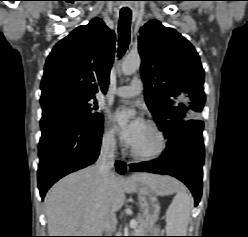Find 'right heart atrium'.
I'll return each instance as SVG.
<instances>
[{"mask_svg": "<svg viewBox=\"0 0 248 237\" xmlns=\"http://www.w3.org/2000/svg\"><path fill=\"white\" fill-rule=\"evenodd\" d=\"M102 144L108 149L115 150L118 147V140L115 131L106 126L102 135Z\"/></svg>", "mask_w": 248, "mask_h": 237, "instance_id": "obj_1", "label": "right heart atrium"}]
</instances>
